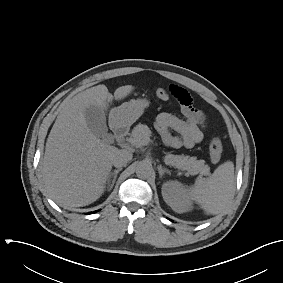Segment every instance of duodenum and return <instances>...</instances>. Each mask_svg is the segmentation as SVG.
I'll list each match as a JSON object with an SVG mask.
<instances>
[{"instance_id": "410a0bca", "label": "duodenum", "mask_w": 283, "mask_h": 283, "mask_svg": "<svg viewBox=\"0 0 283 283\" xmlns=\"http://www.w3.org/2000/svg\"><path fill=\"white\" fill-rule=\"evenodd\" d=\"M113 133L116 140L122 142L128 133V127L123 123H115L113 125Z\"/></svg>"}]
</instances>
